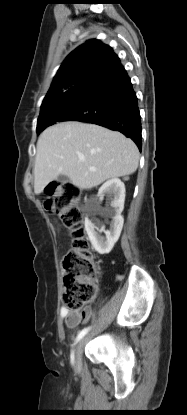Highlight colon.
<instances>
[{
	"label": "colon",
	"mask_w": 187,
	"mask_h": 415,
	"mask_svg": "<svg viewBox=\"0 0 187 415\" xmlns=\"http://www.w3.org/2000/svg\"><path fill=\"white\" fill-rule=\"evenodd\" d=\"M46 195V211L56 215L73 236L72 247L63 261V302L68 310L77 311L97 294V264L89 250L79 209L81 190L73 183L52 182Z\"/></svg>",
	"instance_id": "1"
}]
</instances>
